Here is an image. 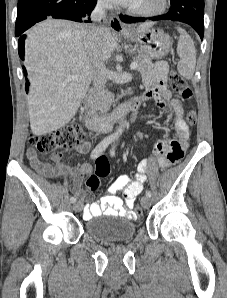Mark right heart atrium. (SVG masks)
Segmentation results:
<instances>
[{"label": "right heart atrium", "mask_w": 227, "mask_h": 298, "mask_svg": "<svg viewBox=\"0 0 227 298\" xmlns=\"http://www.w3.org/2000/svg\"><path fill=\"white\" fill-rule=\"evenodd\" d=\"M98 2L100 5H106L107 0H98Z\"/></svg>", "instance_id": "obj_1"}]
</instances>
